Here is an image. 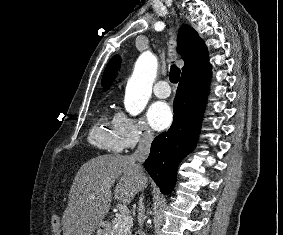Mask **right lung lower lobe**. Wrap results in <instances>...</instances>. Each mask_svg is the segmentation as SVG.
Returning <instances> with one entry per match:
<instances>
[{"label": "right lung lower lobe", "mask_w": 283, "mask_h": 235, "mask_svg": "<svg viewBox=\"0 0 283 235\" xmlns=\"http://www.w3.org/2000/svg\"><path fill=\"white\" fill-rule=\"evenodd\" d=\"M210 76L209 71L191 79H180L173 104V123L152 142L144 166L163 194L171 193L179 163L198 140Z\"/></svg>", "instance_id": "obj_1"}]
</instances>
